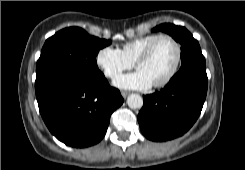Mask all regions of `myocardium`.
I'll return each instance as SVG.
<instances>
[{
	"label": "myocardium",
	"instance_id": "obj_1",
	"mask_svg": "<svg viewBox=\"0 0 245 170\" xmlns=\"http://www.w3.org/2000/svg\"><path fill=\"white\" fill-rule=\"evenodd\" d=\"M162 39H168L171 41V43L173 44V46L175 47L176 50V57H175V62L173 64L172 69L170 70V72L161 80L155 83H152V86L154 87H163L165 85H167L177 74L180 64H181V60H182V49H181V45L179 44V42L171 35L169 34H160L158 35L155 39H153L137 56L136 60H135V67L138 68V65L146 60L154 46L156 45V43Z\"/></svg>",
	"mask_w": 245,
	"mask_h": 170
}]
</instances>
